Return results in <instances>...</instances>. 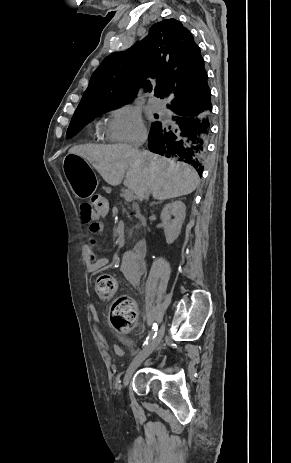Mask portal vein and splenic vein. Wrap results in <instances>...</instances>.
<instances>
[{"label": "portal vein and splenic vein", "mask_w": 291, "mask_h": 463, "mask_svg": "<svg viewBox=\"0 0 291 463\" xmlns=\"http://www.w3.org/2000/svg\"><path fill=\"white\" fill-rule=\"evenodd\" d=\"M124 198L126 201H132V199L134 198L133 192L130 188H126L124 190Z\"/></svg>", "instance_id": "18ae733b"}]
</instances>
